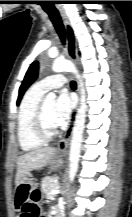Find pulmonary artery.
<instances>
[{
	"instance_id": "obj_1",
	"label": "pulmonary artery",
	"mask_w": 132,
	"mask_h": 217,
	"mask_svg": "<svg viewBox=\"0 0 132 217\" xmlns=\"http://www.w3.org/2000/svg\"><path fill=\"white\" fill-rule=\"evenodd\" d=\"M66 78L61 74L51 75L38 81L35 85L47 92L51 89L60 88L66 84Z\"/></svg>"
}]
</instances>
